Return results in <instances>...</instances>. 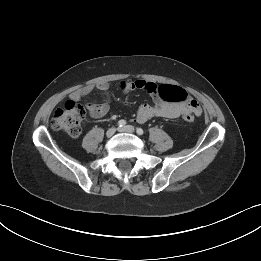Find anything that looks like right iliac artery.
Returning a JSON list of instances; mask_svg holds the SVG:
<instances>
[{
    "label": "right iliac artery",
    "mask_w": 261,
    "mask_h": 261,
    "mask_svg": "<svg viewBox=\"0 0 261 261\" xmlns=\"http://www.w3.org/2000/svg\"><path fill=\"white\" fill-rule=\"evenodd\" d=\"M126 125V121L125 120H119L118 121V126L119 127H123V126H125Z\"/></svg>",
    "instance_id": "1"
}]
</instances>
